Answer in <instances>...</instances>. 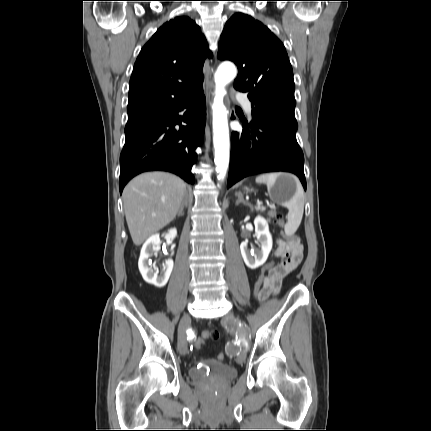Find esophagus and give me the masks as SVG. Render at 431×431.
<instances>
[{
  "instance_id": "obj_1",
  "label": "esophagus",
  "mask_w": 431,
  "mask_h": 431,
  "mask_svg": "<svg viewBox=\"0 0 431 431\" xmlns=\"http://www.w3.org/2000/svg\"><path fill=\"white\" fill-rule=\"evenodd\" d=\"M213 73H214V68L210 67L208 71L207 79H206L207 97L209 99L214 89Z\"/></svg>"
}]
</instances>
